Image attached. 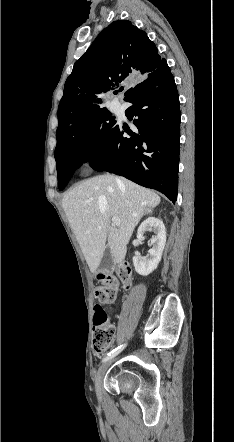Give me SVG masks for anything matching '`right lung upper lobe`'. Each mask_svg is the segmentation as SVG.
I'll use <instances>...</instances> for the list:
<instances>
[{
    "label": "right lung upper lobe",
    "instance_id": "1",
    "mask_svg": "<svg viewBox=\"0 0 234 442\" xmlns=\"http://www.w3.org/2000/svg\"><path fill=\"white\" fill-rule=\"evenodd\" d=\"M165 63L144 31L127 20L111 23L76 61L65 82L58 107L57 146L68 139L88 115L103 109L100 94L133 77L148 79ZM133 89L125 92L124 99Z\"/></svg>",
    "mask_w": 234,
    "mask_h": 442
}]
</instances>
